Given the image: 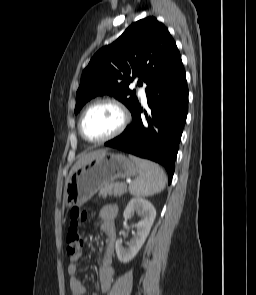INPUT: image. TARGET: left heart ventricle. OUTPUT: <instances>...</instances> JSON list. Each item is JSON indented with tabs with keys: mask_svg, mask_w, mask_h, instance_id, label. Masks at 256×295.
Instances as JSON below:
<instances>
[{
	"mask_svg": "<svg viewBox=\"0 0 256 295\" xmlns=\"http://www.w3.org/2000/svg\"><path fill=\"white\" fill-rule=\"evenodd\" d=\"M119 111L109 104L93 108L84 120V132L90 139H101L113 133L119 126Z\"/></svg>",
	"mask_w": 256,
	"mask_h": 295,
	"instance_id": "b2bd125f",
	"label": "left heart ventricle"
}]
</instances>
